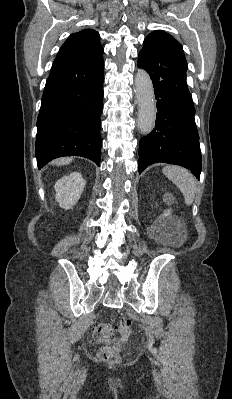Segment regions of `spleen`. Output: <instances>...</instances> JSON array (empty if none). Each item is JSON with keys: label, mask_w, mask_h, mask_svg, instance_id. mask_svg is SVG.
I'll return each mask as SVG.
<instances>
[{"label": "spleen", "mask_w": 232, "mask_h": 399, "mask_svg": "<svg viewBox=\"0 0 232 399\" xmlns=\"http://www.w3.org/2000/svg\"><path fill=\"white\" fill-rule=\"evenodd\" d=\"M162 172L182 192L185 203L191 205L197 192L196 180L191 172L186 168H179V166H166Z\"/></svg>", "instance_id": "spleen-1"}]
</instances>
